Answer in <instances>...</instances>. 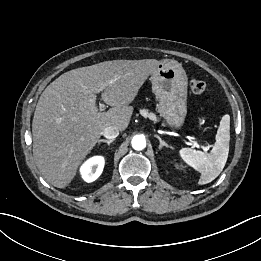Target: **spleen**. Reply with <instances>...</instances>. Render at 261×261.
Masks as SVG:
<instances>
[{
    "label": "spleen",
    "instance_id": "obj_1",
    "mask_svg": "<svg viewBox=\"0 0 261 261\" xmlns=\"http://www.w3.org/2000/svg\"><path fill=\"white\" fill-rule=\"evenodd\" d=\"M230 117L225 115L218 128L216 141L210 154L191 148L179 151L181 158L192 168L201 173L199 185L212 182L222 172L229 153Z\"/></svg>",
    "mask_w": 261,
    "mask_h": 261
}]
</instances>
